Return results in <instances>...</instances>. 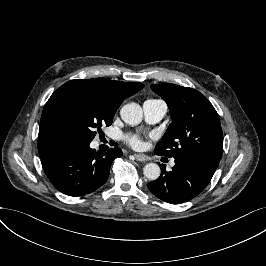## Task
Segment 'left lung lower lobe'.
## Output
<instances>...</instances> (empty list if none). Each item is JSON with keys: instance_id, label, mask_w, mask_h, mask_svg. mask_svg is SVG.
<instances>
[{"instance_id": "left-lung-lower-lobe-1", "label": "left lung lower lobe", "mask_w": 266, "mask_h": 266, "mask_svg": "<svg viewBox=\"0 0 266 266\" xmlns=\"http://www.w3.org/2000/svg\"><path fill=\"white\" fill-rule=\"evenodd\" d=\"M174 159L172 170L166 171L162 164V174L157 180L148 183L147 187L159 199L180 204L193 199L205 189L219 163L192 155H180Z\"/></svg>"}]
</instances>
